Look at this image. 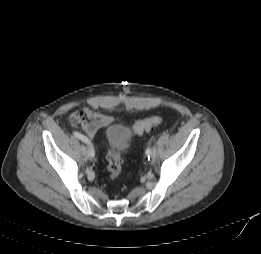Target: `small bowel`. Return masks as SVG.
Segmentation results:
<instances>
[{
  "instance_id": "small-bowel-1",
  "label": "small bowel",
  "mask_w": 261,
  "mask_h": 254,
  "mask_svg": "<svg viewBox=\"0 0 261 254\" xmlns=\"http://www.w3.org/2000/svg\"><path fill=\"white\" fill-rule=\"evenodd\" d=\"M113 121L109 115L101 114L98 111L84 107L79 111H73L69 115V122L74 126H80L82 130L93 139L97 131L108 126Z\"/></svg>"
}]
</instances>
